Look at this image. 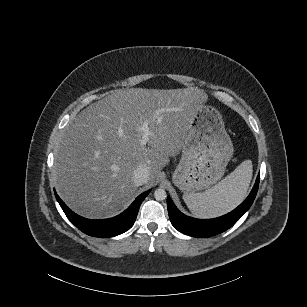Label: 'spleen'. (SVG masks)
Returning a JSON list of instances; mask_svg holds the SVG:
<instances>
[{
	"instance_id": "obj_1",
	"label": "spleen",
	"mask_w": 307,
	"mask_h": 307,
	"mask_svg": "<svg viewBox=\"0 0 307 307\" xmlns=\"http://www.w3.org/2000/svg\"><path fill=\"white\" fill-rule=\"evenodd\" d=\"M252 174V161L245 160L212 188L202 193H184L183 200L197 218L222 216L246 198Z\"/></svg>"
}]
</instances>
